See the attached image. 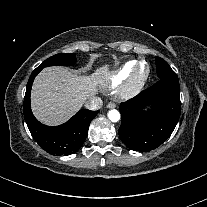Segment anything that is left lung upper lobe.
<instances>
[{"mask_svg": "<svg viewBox=\"0 0 207 207\" xmlns=\"http://www.w3.org/2000/svg\"><path fill=\"white\" fill-rule=\"evenodd\" d=\"M156 60V68L158 77L164 78L171 75H176V73L171 69L168 63L160 57H155Z\"/></svg>", "mask_w": 207, "mask_h": 207, "instance_id": "obj_1", "label": "left lung upper lobe"}]
</instances>
